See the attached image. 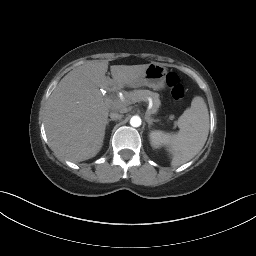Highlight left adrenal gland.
<instances>
[{"instance_id": "a2214340", "label": "left adrenal gland", "mask_w": 256, "mask_h": 256, "mask_svg": "<svg viewBox=\"0 0 256 256\" xmlns=\"http://www.w3.org/2000/svg\"><path fill=\"white\" fill-rule=\"evenodd\" d=\"M145 120L148 123L149 128H151L153 122H158V120L151 118L149 115H145Z\"/></svg>"}]
</instances>
